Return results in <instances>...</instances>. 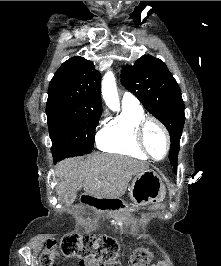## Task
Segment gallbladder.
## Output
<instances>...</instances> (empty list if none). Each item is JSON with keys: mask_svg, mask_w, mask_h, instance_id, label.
Listing matches in <instances>:
<instances>
[{"mask_svg": "<svg viewBox=\"0 0 221 266\" xmlns=\"http://www.w3.org/2000/svg\"><path fill=\"white\" fill-rule=\"evenodd\" d=\"M76 199V193H69L66 197L63 198V202L72 203Z\"/></svg>", "mask_w": 221, "mask_h": 266, "instance_id": "bac80fb5", "label": "gallbladder"}]
</instances>
